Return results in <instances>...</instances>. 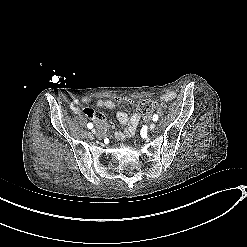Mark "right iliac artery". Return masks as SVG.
<instances>
[{
  "label": "right iliac artery",
  "instance_id": "1",
  "mask_svg": "<svg viewBox=\"0 0 247 247\" xmlns=\"http://www.w3.org/2000/svg\"><path fill=\"white\" fill-rule=\"evenodd\" d=\"M87 127H88L89 129H92V128H93V124H92V123H88V124H87Z\"/></svg>",
  "mask_w": 247,
  "mask_h": 247
}]
</instances>
